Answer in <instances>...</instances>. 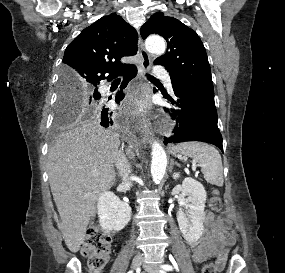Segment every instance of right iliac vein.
<instances>
[{"label":"right iliac vein","instance_id":"obj_1","mask_svg":"<svg viewBox=\"0 0 285 273\" xmlns=\"http://www.w3.org/2000/svg\"><path fill=\"white\" fill-rule=\"evenodd\" d=\"M142 259H143V257L141 254L135 255V257L132 260V268H134V269L138 268L142 262Z\"/></svg>","mask_w":285,"mask_h":273}]
</instances>
